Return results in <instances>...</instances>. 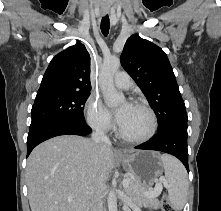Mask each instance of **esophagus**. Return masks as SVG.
Wrapping results in <instances>:
<instances>
[{"mask_svg":"<svg viewBox=\"0 0 221 211\" xmlns=\"http://www.w3.org/2000/svg\"><path fill=\"white\" fill-rule=\"evenodd\" d=\"M108 12H109L108 9H103L102 10L103 15H106ZM115 152L118 153V154H121L123 151L120 148H116Z\"/></svg>","mask_w":221,"mask_h":211,"instance_id":"34e87169","label":"esophagus"}]
</instances>
